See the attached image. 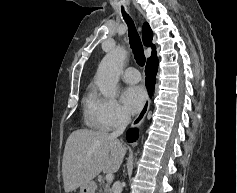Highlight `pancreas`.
<instances>
[{"label": "pancreas", "mask_w": 237, "mask_h": 193, "mask_svg": "<svg viewBox=\"0 0 237 193\" xmlns=\"http://www.w3.org/2000/svg\"><path fill=\"white\" fill-rule=\"evenodd\" d=\"M100 185H102L103 190H100L99 193H111L110 183L101 182Z\"/></svg>", "instance_id": "obj_1"}]
</instances>
